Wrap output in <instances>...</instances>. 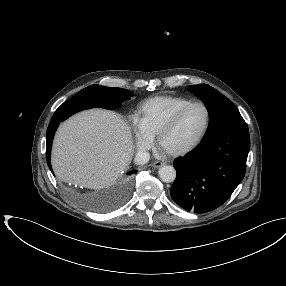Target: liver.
<instances>
[{
	"instance_id": "1",
	"label": "liver",
	"mask_w": 286,
	"mask_h": 286,
	"mask_svg": "<svg viewBox=\"0 0 286 286\" xmlns=\"http://www.w3.org/2000/svg\"><path fill=\"white\" fill-rule=\"evenodd\" d=\"M134 152L131 131L115 112L83 111L58 129L51 152L56 176L86 188L111 185L129 166Z\"/></svg>"
}]
</instances>
